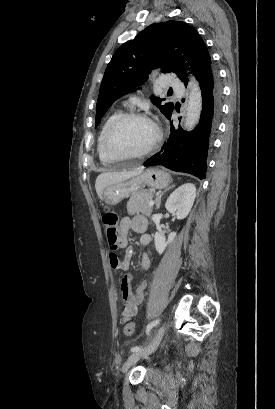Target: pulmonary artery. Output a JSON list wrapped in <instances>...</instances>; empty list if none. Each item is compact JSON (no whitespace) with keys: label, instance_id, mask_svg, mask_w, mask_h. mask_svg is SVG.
Segmentation results:
<instances>
[{"label":"pulmonary artery","instance_id":"obj_1","mask_svg":"<svg viewBox=\"0 0 275 409\" xmlns=\"http://www.w3.org/2000/svg\"><path fill=\"white\" fill-rule=\"evenodd\" d=\"M159 85L165 88H178L180 86V81L177 79L176 73H170L163 77V80L159 82Z\"/></svg>","mask_w":275,"mask_h":409}]
</instances>
